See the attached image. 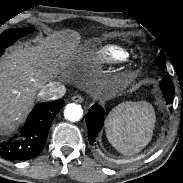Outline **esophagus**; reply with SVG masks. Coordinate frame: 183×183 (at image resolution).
Masks as SVG:
<instances>
[{
    "label": "esophagus",
    "mask_w": 183,
    "mask_h": 183,
    "mask_svg": "<svg viewBox=\"0 0 183 183\" xmlns=\"http://www.w3.org/2000/svg\"><path fill=\"white\" fill-rule=\"evenodd\" d=\"M72 100H73L74 102L81 103V102H83L84 99H83V97L80 96V95H75V96L72 97Z\"/></svg>",
    "instance_id": "obj_1"
}]
</instances>
